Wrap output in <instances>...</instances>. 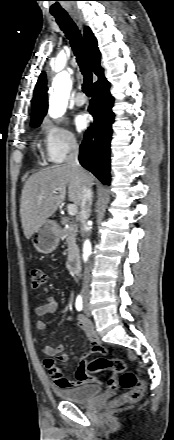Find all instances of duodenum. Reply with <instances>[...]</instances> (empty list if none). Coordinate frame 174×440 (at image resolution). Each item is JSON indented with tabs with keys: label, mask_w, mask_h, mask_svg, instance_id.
Instances as JSON below:
<instances>
[{
	"label": "duodenum",
	"mask_w": 174,
	"mask_h": 440,
	"mask_svg": "<svg viewBox=\"0 0 174 440\" xmlns=\"http://www.w3.org/2000/svg\"><path fill=\"white\" fill-rule=\"evenodd\" d=\"M68 269L71 273L78 275L80 273V262L75 256L71 257L68 261Z\"/></svg>",
	"instance_id": "obj_1"
}]
</instances>
